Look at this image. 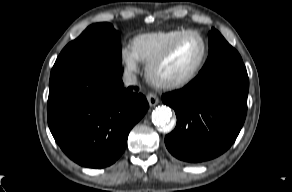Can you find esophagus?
Here are the masks:
<instances>
[{
    "label": "esophagus",
    "instance_id": "1",
    "mask_svg": "<svg viewBox=\"0 0 292 192\" xmlns=\"http://www.w3.org/2000/svg\"><path fill=\"white\" fill-rule=\"evenodd\" d=\"M146 98H147V101L151 107H153L159 103V98L154 93H148Z\"/></svg>",
    "mask_w": 292,
    "mask_h": 192
}]
</instances>
